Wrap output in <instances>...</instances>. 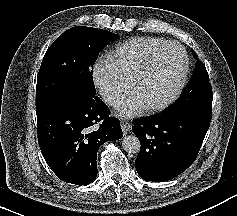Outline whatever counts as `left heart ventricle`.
<instances>
[{"instance_id":"left-heart-ventricle-1","label":"left heart ventricle","mask_w":237,"mask_h":216,"mask_svg":"<svg viewBox=\"0 0 237 216\" xmlns=\"http://www.w3.org/2000/svg\"><path fill=\"white\" fill-rule=\"evenodd\" d=\"M180 66L181 61L172 62L160 66L150 74H143L138 83L137 98L157 101L165 97L177 81Z\"/></svg>"}]
</instances>
